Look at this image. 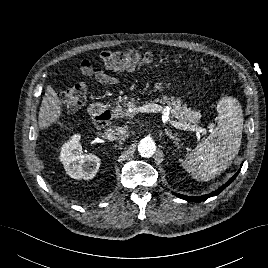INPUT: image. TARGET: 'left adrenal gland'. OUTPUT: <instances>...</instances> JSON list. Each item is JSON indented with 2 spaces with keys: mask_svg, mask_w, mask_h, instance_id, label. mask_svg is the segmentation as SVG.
I'll list each match as a JSON object with an SVG mask.
<instances>
[{
  "mask_svg": "<svg viewBox=\"0 0 268 268\" xmlns=\"http://www.w3.org/2000/svg\"><path fill=\"white\" fill-rule=\"evenodd\" d=\"M165 134L174 141V143L179 146V138H177L176 136H174L171 131H169L168 129H165Z\"/></svg>",
  "mask_w": 268,
  "mask_h": 268,
  "instance_id": "a2214340",
  "label": "left adrenal gland"
}]
</instances>
